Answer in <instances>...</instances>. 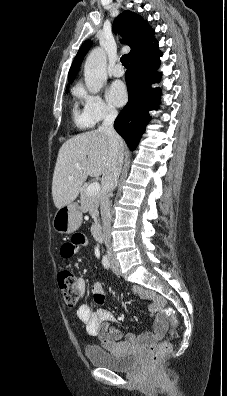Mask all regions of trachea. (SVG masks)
Masks as SVG:
<instances>
[{
  "label": "trachea",
  "mask_w": 227,
  "mask_h": 396,
  "mask_svg": "<svg viewBox=\"0 0 227 396\" xmlns=\"http://www.w3.org/2000/svg\"><path fill=\"white\" fill-rule=\"evenodd\" d=\"M121 63H122V65L124 66V67H128V65H129V57H128V55L127 54H124L122 57H121Z\"/></svg>",
  "instance_id": "1"
}]
</instances>
